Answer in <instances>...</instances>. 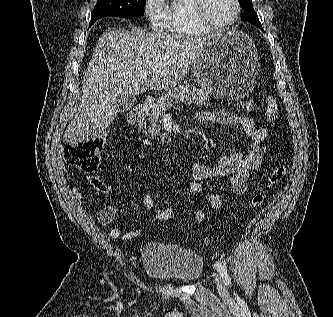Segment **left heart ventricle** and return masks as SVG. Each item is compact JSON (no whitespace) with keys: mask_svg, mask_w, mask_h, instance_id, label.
I'll return each mask as SVG.
<instances>
[{"mask_svg":"<svg viewBox=\"0 0 333 317\" xmlns=\"http://www.w3.org/2000/svg\"><path fill=\"white\" fill-rule=\"evenodd\" d=\"M235 13L233 0H206V15L215 23L229 20Z\"/></svg>","mask_w":333,"mask_h":317,"instance_id":"obj_1","label":"left heart ventricle"}]
</instances>
